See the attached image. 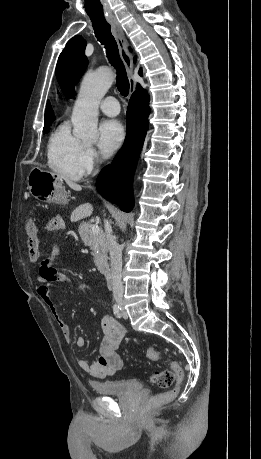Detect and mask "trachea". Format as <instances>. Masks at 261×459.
<instances>
[{
    "instance_id": "1",
    "label": "trachea",
    "mask_w": 261,
    "mask_h": 459,
    "mask_svg": "<svg viewBox=\"0 0 261 459\" xmlns=\"http://www.w3.org/2000/svg\"><path fill=\"white\" fill-rule=\"evenodd\" d=\"M92 25L97 40L105 46L109 63L117 71L116 86L121 95L126 97L129 93V80L125 66L119 56L117 42L111 33V26L106 20H92Z\"/></svg>"
}]
</instances>
